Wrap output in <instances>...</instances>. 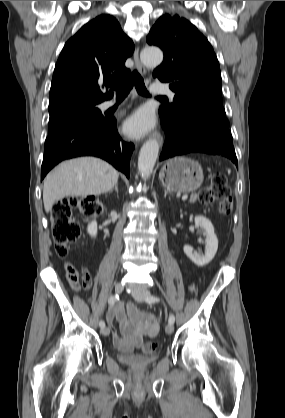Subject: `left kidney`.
I'll return each mask as SVG.
<instances>
[{
    "mask_svg": "<svg viewBox=\"0 0 285 418\" xmlns=\"http://www.w3.org/2000/svg\"><path fill=\"white\" fill-rule=\"evenodd\" d=\"M195 226L201 227L204 231V235L206 237L205 254L202 255L195 252L194 249L189 245H185L183 250L193 263L202 267L210 263V261L214 258L218 249V239L214 232V226L208 218L204 216H196Z\"/></svg>",
    "mask_w": 285,
    "mask_h": 418,
    "instance_id": "obj_1",
    "label": "left kidney"
}]
</instances>
